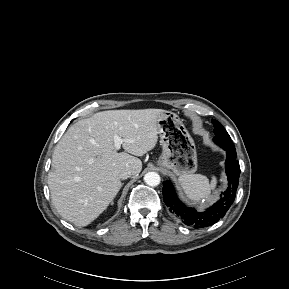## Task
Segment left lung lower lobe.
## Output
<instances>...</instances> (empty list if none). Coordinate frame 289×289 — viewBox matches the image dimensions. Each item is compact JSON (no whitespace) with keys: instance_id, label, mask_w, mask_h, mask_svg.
<instances>
[{"instance_id":"left-lung-lower-lobe-1","label":"left lung lower lobe","mask_w":289,"mask_h":289,"mask_svg":"<svg viewBox=\"0 0 289 289\" xmlns=\"http://www.w3.org/2000/svg\"><path fill=\"white\" fill-rule=\"evenodd\" d=\"M227 154L226 174L228 177V187L222 194L220 200L214 203L205 211H196L194 208L187 207L182 203L174 190L170 181L163 182V199L169 207V211L181 218L183 222L194 228H203L215 224L223 218L234 202L240 176V166L236 159L237 154L234 145L220 146Z\"/></svg>"}]
</instances>
